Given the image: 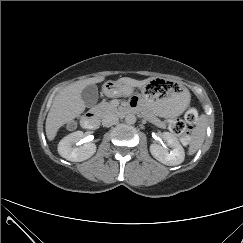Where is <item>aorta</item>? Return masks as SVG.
Here are the masks:
<instances>
[{"mask_svg":"<svg viewBox=\"0 0 243 243\" xmlns=\"http://www.w3.org/2000/svg\"><path fill=\"white\" fill-rule=\"evenodd\" d=\"M125 122L129 125L136 123V116L134 114H128L125 117Z\"/></svg>","mask_w":243,"mask_h":243,"instance_id":"1","label":"aorta"}]
</instances>
